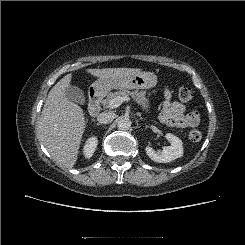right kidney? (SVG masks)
Returning <instances> with one entry per match:
<instances>
[{
	"mask_svg": "<svg viewBox=\"0 0 245 245\" xmlns=\"http://www.w3.org/2000/svg\"><path fill=\"white\" fill-rule=\"evenodd\" d=\"M97 144H98V140H97V137H95V136H92L91 138H89L86 141V144L83 148V150H84L83 153H84L86 158L92 157L94 151L97 148Z\"/></svg>",
	"mask_w": 245,
	"mask_h": 245,
	"instance_id": "right-kidney-1",
	"label": "right kidney"
}]
</instances>
